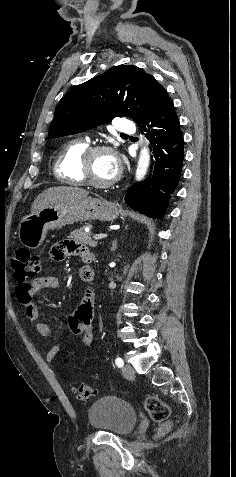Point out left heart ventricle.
I'll return each mask as SVG.
<instances>
[{
  "instance_id": "left-heart-ventricle-1",
  "label": "left heart ventricle",
  "mask_w": 236,
  "mask_h": 477,
  "mask_svg": "<svg viewBox=\"0 0 236 477\" xmlns=\"http://www.w3.org/2000/svg\"><path fill=\"white\" fill-rule=\"evenodd\" d=\"M91 176L98 181H109L116 175L114 156L109 152H100L90 161Z\"/></svg>"
}]
</instances>
